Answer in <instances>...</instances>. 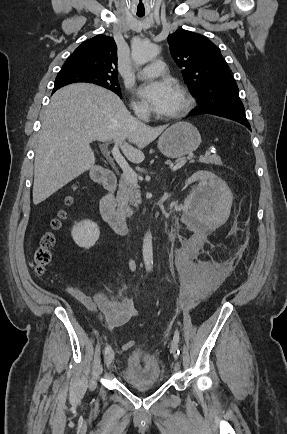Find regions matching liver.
<instances>
[{"mask_svg": "<svg viewBox=\"0 0 287 434\" xmlns=\"http://www.w3.org/2000/svg\"><path fill=\"white\" fill-rule=\"evenodd\" d=\"M164 129L152 128L133 117L116 94L102 87L72 84L59 89L42 115L34 162L33 203L43 202L94 167L92 141L118 142L125 157L139 163L144 160L141 149Z\"/></svg>", "mask_w": 287, "mask_h": 434, "instance_id": "obj_1", "label": "liver"}]
</instances>
